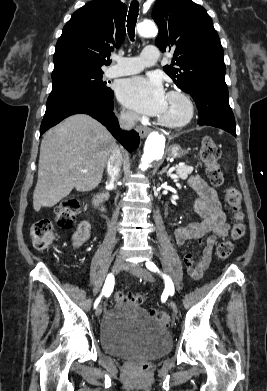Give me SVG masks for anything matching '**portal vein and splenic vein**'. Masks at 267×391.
Returning a JSON list of instances; mask_svg holds the SVG:
<instances>
[{
    "instance_id": "obj_1",
    "label": "portal vein and splenic vein",
    "mask_w": 267,
    "mask_h": 391,
    "mask_svg": "<svg viewBox=\"0 0 267 391\" xmlns=\"http://www.w3.org/2000/svg\"><path fill=\"white\" fill-rule=\"evenodd\" d=\"M175 169V167H172V171ZM82 172H87V170L86 169H82Z\"/></svg>"
}]
</instances>
